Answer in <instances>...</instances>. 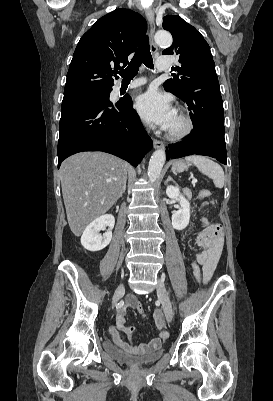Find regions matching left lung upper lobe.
Instances as JSON below:
<instances>
[{
    "mask_svg": "<svg viewBox=\"0 0 273 401\" xmlns=\"http://www.w3.org/2000/svg\"><path fill=\"white\" fill-rule=\"evenodd\" d=\"M163 28L172 34L173 44L162 54L177 55L181 64L174 68L178 74L163 84L165 90L177 97L193 91L220 94L215 63L203 36L178 15L165 16Z\"/></svg>",
    "mask_w": 273,
    "mask_h": 401,
    "instance_id": "1",
    "label": "left lung upper lobe"
}]
</instances>
